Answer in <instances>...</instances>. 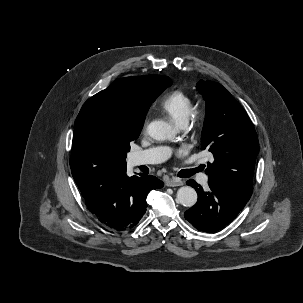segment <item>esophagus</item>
<instances>
[{
  "label": "esophagus",
  "instance_id": "1",
  "mask_svg": "<svg viewBox=\"0 0 303 303\" xmlns=\"http://www.w3.org/2000/svg\"><path fill=\"white\" fill-rule=\"evenodd\" d=\"M166 186L168 187H177L183 185V181L178 178H171L166 181Z\"/></svg>",
  "mask_w": 303,
  "mask_h": 303
}]
</instances>
